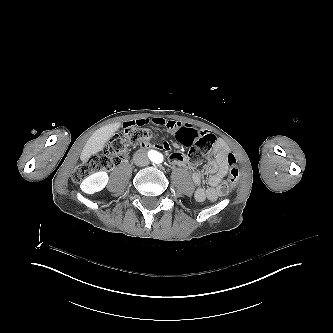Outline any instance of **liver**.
Here are the masks:
<instances>
[{
  "mask_svg": "<svg viewBox=\"0 0 333 333\" xmlns=\"http://www.w3.org/2000/svg\"><path fill=\"white\" fill-rule=\"evenodd\" d=\"M122 122L108 124L97 129L87 140L80 155L81 162H86L90 157L105 149L106 143L114 137Z\"/></svg>",
  "mask_w": 333,
  "mask_h": 333,
  "instance_id": "6515ba94",
  "label": "liver"
}]
</instances>
